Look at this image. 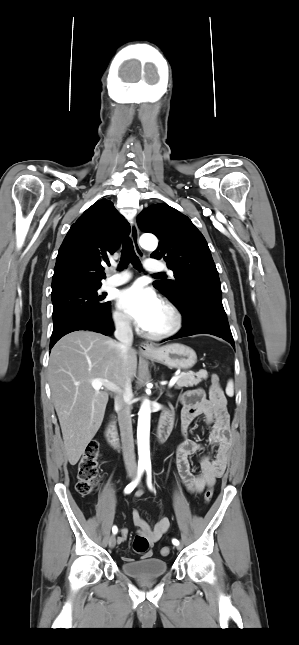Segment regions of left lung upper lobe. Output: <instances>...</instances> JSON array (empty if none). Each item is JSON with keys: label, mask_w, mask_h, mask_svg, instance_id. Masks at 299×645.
<instances>
[{"label": "left lung upper lobe", "mask_w": 299, "mask_h": 645, "mask_svg": "<svg viewBox=\"0 0 299 645\" xmlns=\"http://www.w3.org/2000/svg\"><path fill=\"white\" fill-rule=\"evenodd\" d=\"M137 222L143 232L160 239L151 257L163 258L174 272V279L158 280L153 285L168 295L175 306L189 314L188 301L197 300L209 289H221L208 244L187 216L158 203L143 209Z\"/></svg>", "instance_id": "5c2ea615"}]
</instances>
